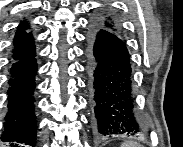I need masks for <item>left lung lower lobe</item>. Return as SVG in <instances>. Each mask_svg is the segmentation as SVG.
Here are the masks:
<instances>
[{
  "label": "left lung lower lobe",
  "instance_id": "1",
  "mask_svg": "<svg viewBox=\"0 0 183 147\" xmlns=\"http://www.w3.org/2000/svg\"><path fill=\"white\" fill-rule=\"evenodd\" d=\"M93 127L100 137L140 135L145 129L134 112L131 64L123 39L93 25L87 47Z\"/></svg>",
  "mask_w": 183,
  "mask_h": 147
}]
</instances>
